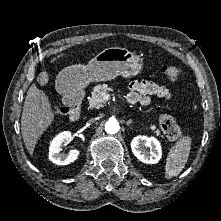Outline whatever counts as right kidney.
Returning <instances> with one entry per match:
<instances>
[{
	"label": "right kidney",
	"mask_w": 221,
	"mask_h": 221,
	"mask_svg": "<svg viewBox=\"0 0 221 221\" xmlns=\"http://www.w3.org/2000/svg\"><path fill=\"white\" fill-rule=\"evenodd\" d=\"M72 139V134L69 131L59 133L50 143L49 160L57 165H68L74 162L78 156V150H71L68 154L61 153V145Z\"/></svg>",
	"instance_id": "right-kidney-1"
}]
</instances>
